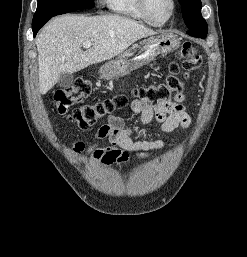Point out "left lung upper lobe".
<instances>
[{
	"instance_id": "1",
	"label": "left lung upper lobe",
	"mask_w": 247,
	"mask_h": 257,
	"mask_svg": "<svg viewBox=\"0 0 247 257\" xmlns=\"http://www.w3.org/2000/svg\"><path fill=\"white\" fill-rule=\"evenodd\" d=\"M182 6L183 19L189 31L207 35L208 27L201 15L200 0H178Z\"/></svg>"
}]
</instances>
